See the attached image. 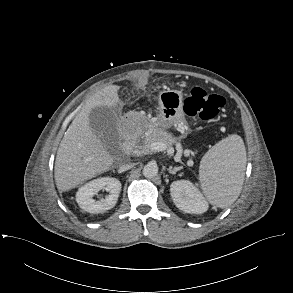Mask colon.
I'll return each instance as SVG.
<instances>
[{
	"label": "colon",
	"instance_id": "colon-1",
	"mask_svg": "<svg viewBox=\"0 0 293 293\" xmlns=\"http://www.w3.org/2000/svg\"><path fill=\"white\" fill-rule=\"evenodd\" d=\"M224 107L225 99L222 96L209 93L201 87H193L184 101V111L187 115L205 121L216 119Z\"/></svg>",
	"mask_w": 293,
	"mask_h": 293
}]
</instances>
